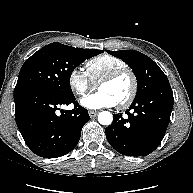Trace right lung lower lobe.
<instances>
[{
    "label": "right lung lower lobe",
    "mask_w": 193,
    "mask_h": 193,
    "mask_svg": "<svg viewBox=\"0 0 193 193\" xmlns=\"http://www.w3.org/2000/svg\"><path fill=\"white\" fill-rule=\"evenodd\" d=\"M15 101V119L22 137L32 152L44 158L61 157L78 144L84 124L90 120L74 95L34 91ZM73 103L74 109L57 115L60 105Z\"/></svg>",
    "instance_id": "1"
}]
</instances>
